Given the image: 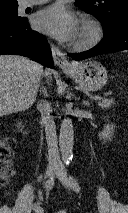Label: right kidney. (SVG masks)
Instances as JSON below:
<instances>
[{
	"label": "right kidney",
	"instance_id": "1",
	"mask_svg": "<svg viewBox=\"0 0 128 213\" xmlns=\"http://www.w3.org/2000/svg\"><path fill=\"white\" fill-rule=\"evenodd\" d=\"M18 126H19V127H21V126H22V123H21V122H19V123H18ZM21 131H22V129H21Z\"/></svg>",
	"mask_w": 128,
	"mask_h": 213
}]
</instances>
